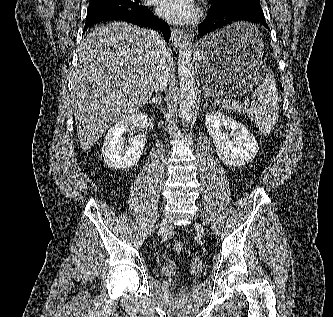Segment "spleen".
<instances>
[{"label": "spleen", "instance_id": "1", "mask_svg": "<svg viewBox=\"0 0 333 317\" xmlns=\"http://www.w3.org/2000/svg\"><path fill=\"white\" fill-rule=\"evenodd\" d=\"M255 31L259 33L256 27ZM252 98L253 102L247 108V113L261 132L267 135L273 130L279 113L278 90L272 74L266 75L262 84L253 91Z\"/></svg>", "mask_w": 333, "mask_h": 317}]
</instances>
